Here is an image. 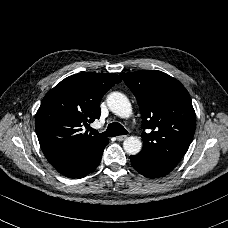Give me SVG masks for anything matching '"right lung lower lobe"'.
Returning a JSON list of instances; mask_svg holds the SVG:
<instances>
[{
  "label": "right lung lower lobe",
  "instance_id": "98d812e1",
  "mask_svg": "<svg viewBox=\"0 0 228 228\" xmlns=\"http://www.w3.org/2000/svg\"><path fill=\"white\" fill-rule=\"evenodd\" d=\"M108 143V138H101L75 156L54 160L50 163L64 176L71 178L84 177L99 165L103 150Z\"/></svg>",
  "mask_w": 228,
  "mask_h": 228
}]
</instances>
